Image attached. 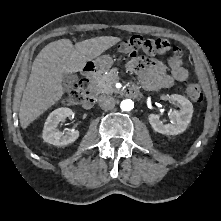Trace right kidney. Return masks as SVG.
<instances>
[{"mask_svg":"<svg viewBox=\"0 0 221 221\" xmlns=\"http://www.w3.org/2000/svg\"><path fill=\"white\" fill-rule=\"evenodd\" d=\"M73 112L70 108H58L51 112L44 123L42 137L45 142L56 145H68L79 137L78 130H69L66 134L57 129L58 123L67 117H71Z\"/></svg>","mask_w":221,"mask_h":221,"instance_id":"obj_1","label":"right kidney"}]
</instances>
